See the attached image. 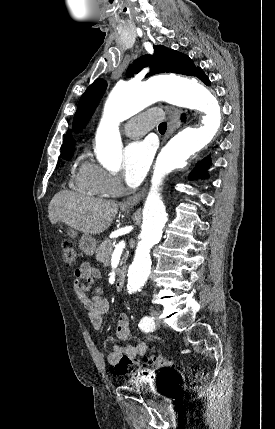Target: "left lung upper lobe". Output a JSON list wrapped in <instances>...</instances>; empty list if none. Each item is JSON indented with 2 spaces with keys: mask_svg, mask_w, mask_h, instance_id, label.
<instances>
[{
  "mask_svg": "<svg viewBox=\"0 0 275 429\" xmlns=\"http://www.w3.org/2000/svg\"><path fill=\"white\" fill-rule=\"evenodd\" d=\"M150 66V72L146 75L159 73H179L183 75L196 76L201 68L195 67L192 60L185 54L168 49L162 45L154 46V55L142 56L127 70V76L132 77L140 72L144 67ZM106 89V82L102 79L95 80L80 98L78 108L74 116L73 125L75 131H80L91 117L99 100Z\"/></svg>",
  "mask_w": 275,
  "mask_h": 429,
  "instance_id": "left-lung-upper-lobe-1",
  "label": "left lung upper lobe"
}]
</instances>
